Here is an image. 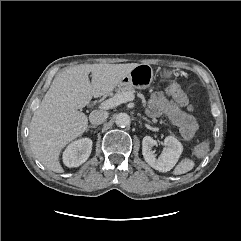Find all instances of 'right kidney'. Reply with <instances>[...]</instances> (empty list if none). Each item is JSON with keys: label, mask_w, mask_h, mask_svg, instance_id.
<instances>
[{"label": "right kidney", "mask_w": 241, "mask_h": 241, "mask_svg": "<svg viewBox=\"0 0 241 241\" xmlns=\"http://www.w3.org/2000/svg\"><path fill=\"white\" fill-rule=\"evenodd\" d=\"M91 150L92 140L90 138L76 140L64 151L63 162L67 167H78L89 158Z\"/></svg>", "instance_id": "ca27d5eb"}]
</instances>
